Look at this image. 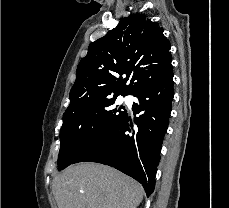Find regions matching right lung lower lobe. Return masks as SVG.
<instances>
[{
  "instance_id": "right-lung-lower-lobe-1",
  "label": "right lung lower lobe",
  "mask_w": 229,
  "mask_h": 208,
  "mask_svg": "<svg viewBox=\"0 0 229 208\" xmlns=\"http://www.w3.org/2000/svg\"><path fill=\"white\" fill-rule=\"evenodd\" d=\"M133 96L134 120L125 112L118 124L86 148L73 162H97L112 166L140 182L147 194L155 187L164 134L168 128L173 92V73L153 81Z\"/></svg>"
}]
</instances>
